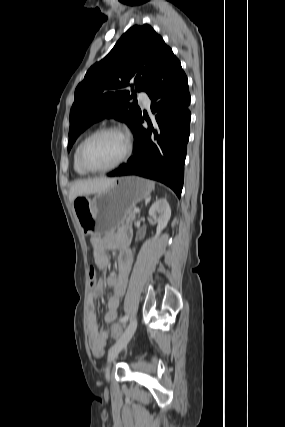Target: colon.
Returning a JSON list of instances; mask_svg holds the SVG:
<instances>
[{
	"instance_id": "1",
	"label": "colon",
	"mask_w": 285,
	"mask_h": 427,
	"mask_svg": "<svg viewBox=\"0 0 285 427\" xmlns=\"http://www.w3.org/2000/svg\"><path fill=\"white\" fill-rule=\"evenodd\" d=\"M88 282H89V287L92 289L96 283H97V273H96V269L94 267H90L88 269ZM121 334V329L119 327H114L112 330V335L115 338H118Z\"/></svg>"
}]
</instances>
